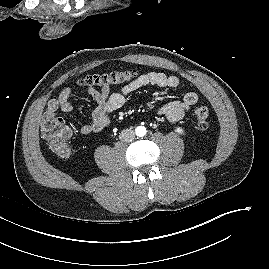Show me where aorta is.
Segmentation results:
<instances>
[{
	"instance_id": "aorta-1",
	"label": "aorta",
	"mask_w": 269,
	"mask_h": 269,
	"mask_svg": "<svg viewBox=\"0 0 269 269\" xmlns=\"http://www.w3.org/2000/svg\"><path fill=\"white\" fill-rule=\"evenodd\" d=\"M146 132H147V130H146V128H145L144 126H138V127H136V129H135V133H136V135H137L138 137H143V136H145Z\"/></svg>"
}]
</instances>
